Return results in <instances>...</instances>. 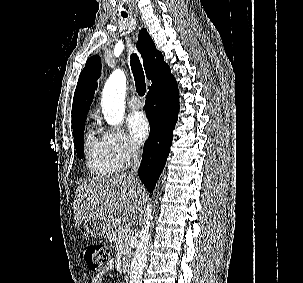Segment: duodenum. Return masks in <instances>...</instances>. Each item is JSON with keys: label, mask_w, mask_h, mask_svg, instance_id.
Wrapping results in <instances>:
<instances>
[{"label": "duodenum", "mask_w": 303, "mask_h": 283, "mask_svg": "<svg viewBox=\"0 0 303 283\" xmlns=\"http://www.w3.org/2000/svg\"><path fill=\"white\" fill-rule=\"evenodd\" d=\"M122 271H123V274L126 278H129L130 276V272H131V269H130V264L129 263H125L122 267Z\"/></svg>", "instance_id": "obj_1"}]
</instances>
